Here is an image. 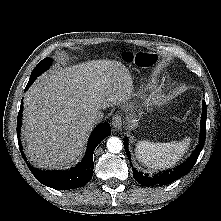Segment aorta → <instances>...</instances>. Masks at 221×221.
<instances>
[{"label":"aorta","instance_id":"obj_1","mask_svg":"<svg viewBox=\"0 0 221 221\" xmlns=\"http://www.w3.org/2000/svg\"><path fill=\"white\" fill-rule=\"evenodd\" d=\"M123 143L118 137H110L107 140V149L111 153H119L122 150Z\"/></svg>","mask_w":221,"mask_h":221}]
</instances>
